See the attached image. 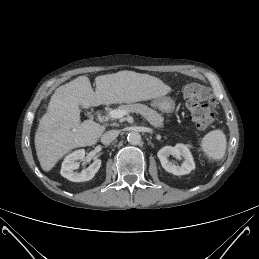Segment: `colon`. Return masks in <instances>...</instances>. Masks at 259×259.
I'll return each mask as SVG.
<instances>
[{"mask_svg": "<svg viewBox=\"0 0 259 259\" xmlns=\"http://www.w3.org/2000/svg\"><path fill=\"white\" fill-rule=\"evenodd\" d=\"M183 98L192 121L199 130H206L214 120L211 108L212 95L201 84L191 83L184 87Z\"/></svg>", "mask_w": 259, "mask_h": 259, "instance_id": "1", "label": "colon"}]
</instances>
